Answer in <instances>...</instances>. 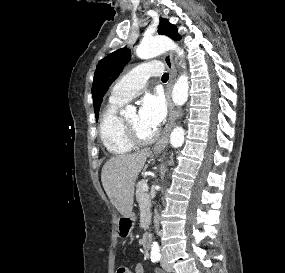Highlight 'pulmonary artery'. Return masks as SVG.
I'll return each mask as SVG.
<instances>
[{
	"mask_svg": "<svg viewBox=\"0 0 285 273\" xmlns=\"http://www.w3.org/2000/svg\"><path fill=\"white\" fill-rule=\"evenodd\" d=\"M163 71L164 67L161 62L141 63L116 82L111 92L110 101L123 103L129 101L140 92L149 77L160 76Z\"/></svg>",
	"mask_w": 285,
	"mask_h": 273,
	"instance_id": "1",
	"label": "pulmonary artery"
}]
</instances>
